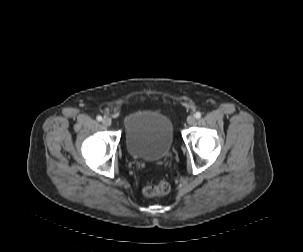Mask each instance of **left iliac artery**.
<instances>
[{
  "instance_id": "44dca946",
  "label": "left iliac artery",
  "mask_w": 303,
  "mask_h": 252,
  "mask_svg": "<svg viewBox=\"0 0 303 252\" xmlns=\"http://www.w3.org/2000/svg\"><path fill=\"white\" fill-rule=\"evenodd\" d=\"M195 117L197 118V119H199L200 117H201V113L198 111V112H196L195 113Z\"/></svg>"
}]
</instances>
